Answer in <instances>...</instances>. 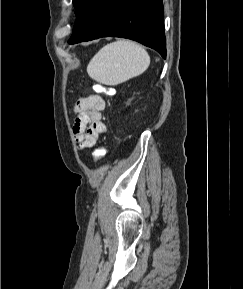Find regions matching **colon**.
I'll return each mask as SVG.
<instances>
[{
  "instance_id": "1",
  "label": "colon",
  "mask_w": 243,
  "mask_h": 289,
  "mask_svg": "<svg viewBox=\"0 0 243 289\" xmlns=\"http://www.w3.org/2000/svg\"><path fill=\"white\" fill-rule=\"evenodd\" d=\"M95 89L99 92L106 94V95H109L112 92L111 89H109L105 86H102V85H96ZM104 155H105V149L103 147H99L93 153L95 161H99L101 158H103Z\"/></svg>"
}]
</instances>
